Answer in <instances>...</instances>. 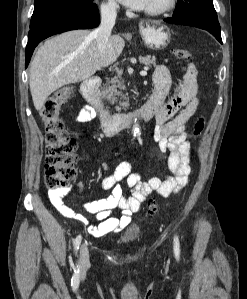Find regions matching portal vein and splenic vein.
I'll return each instance as SVG.
<instances>
[{"instance_id":"18ae733b","label":"portal vein and splenic vein","mask_w":247,"mask_h":299,"mask_svg":"<svg viewBox=\"0 0 247 299\" xmlns=\"http://www.w3.org/2000/svg\"><path fill=\"white\" fill-rule=\"evenodd\" d=\"M147 70H148V68H144V70L140 72V75L146 76L147 75ZM117 72H120V71L117 69Z\"/></svg>"}]
</instances>
